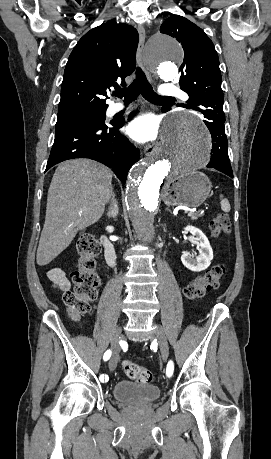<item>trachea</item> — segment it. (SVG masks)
Segmentation results:
<instances>
[{
    "mask_svg": "<svg viewBox=\"0 0 271 459\" xmlns=\"http://www.w3.org/2000/svg\"><path fill=\"white\" fill-rule=\"evenodd\" d=\"M136 77L128 88H116L114 95L116 97H124L126 102H132L136 100L138 95H143V97L148 100V102L162 104L171 97H163L154 92L152 86L148 82L146 75L140 67L136 68Z\"/></svg>",
    "mask_w": 271,
    "mask_h": 459,
    "instance_id": "1",
    "label": "trachea"
}]
</instances>
